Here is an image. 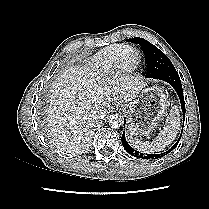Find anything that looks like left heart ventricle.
<instances>
[{"label": "left heart ventricle", "instance_id": "1", "mask_svg": "<svg viewBox=\"0 0 209 209\" xmlns=\"http://www.w3.org/2000/svg\"><path fill=\"white\" fill-rule=\"evenodd\" d=\"M134 56L135 53L133 50H126L122 55L123 62H130Z\"/></svg>", "mask_w": 209, "mask_h": 209}]
</instances>
